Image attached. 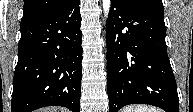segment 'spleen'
<instances>
[{"label":"spleen","instance_id":"3e777b00","mask_svg":"<svg viewBox=\"0 0 193 112\" xmlns=\"http://www.w3.org/2000/svg\"><path fill=\"white\" fill-rule=\"evenodd\" d=\"M123 112H159L155 107L146 105H132L123 109Z\"/></svg>","mask_w":193,"mask_h":112}]
</instances>
